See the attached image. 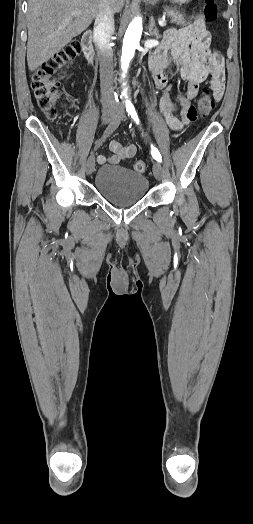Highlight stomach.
Returning a JSON list of instances; mask_svg holds the SVG:
<instances>
[{
    "label": "stomach",
    "mask_w": 253,
    "mask_h": 524,
    "mask_svg": "<svg viewBox=\"0 0 253 524\" xmlns=\"http://www.w3.org/2000/svg\"><path fill=\"white\" fill-rule=\"evenodd\" d=\"M146 1H148V2H150V3H152V4H154L157 0H146ZM171 1H173V2H175V3H180V4H182V3H188V2H190L191 0H171Z\"/></svg>",
    "instance_id": "0dacf381"
}]
</instances>
